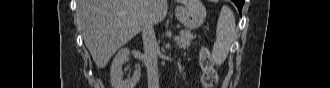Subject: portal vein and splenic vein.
Returning <instances> with one entry per match:
<instances>
[{"label": "portal vein and splenic vein", "mask_w": 330, "mask_h": 88, "mask_svg": "<svg viewBox=\"0 0 330 88\" xmlns=\"http://www.w3.org/2000/svg\"><path fill=\"white\" fill-rule=\"evenodd\" d=\"M179 39H180L179 37H176V38H175L176 41H179Z\"/></svg>", "instance_id": "obj_1"}]
</instances>
